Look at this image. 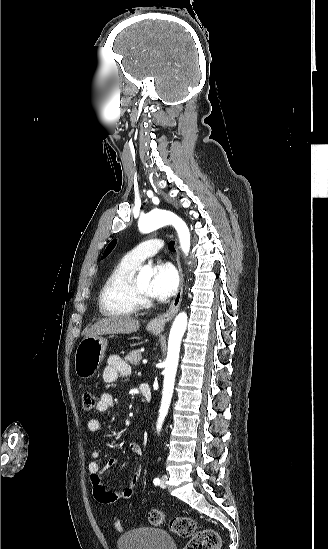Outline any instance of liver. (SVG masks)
Instances as JSON below:
<instances>
[{
  "label": "liver",
  "instance_id": "6515ba94",
  "mask_svg": "<svg viewBox=\"0 0 328 549\" xmlns=\"http://www.w3.org/2000/svg\"><path fill=\"white\" fill-rule=\"evenodd\" d=\"M140 329L137 319L131 317H105L94 323L86 333V337L98 335H131Z\"/></svg>",
  "mask_w": 328,
  "mask_h": 549
}]
</instances>
